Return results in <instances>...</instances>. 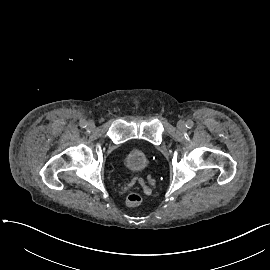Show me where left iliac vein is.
Masks as SVG:
<instances>
[{
	"label": "left iliac vein",
	"mask_w": 270,
	"mask_h": 270,
	"mask_svg": "<svg viewBox=\"0 0 270 270\" xmlns=\"http://www.w3.org/2000/svg\"><path fill=\"white\" fill-rule=\"evenodd\" d=\"M177 127L179 130L185 131L186 130V123L184 121H179L177 124Z\"/></svg>",
	"instance_id": "4c4485c4"
}]
</instances>
